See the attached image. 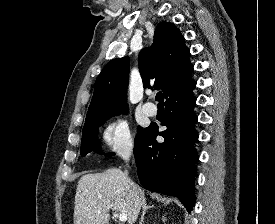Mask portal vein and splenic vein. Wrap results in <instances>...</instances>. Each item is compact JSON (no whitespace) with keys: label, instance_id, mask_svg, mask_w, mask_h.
Here are the masks:
<instances>
[{"label":"portal vein and splenic vein","instance_id":"obj_1","mask_svg":"<svg viewBox=\"0 0 275 224\" xmlns=\"http://www.w3.org/2000/svg\"><path fill=\"white\" fill-rule=\"evenodd\" d=\"M115 216L118 217L119 221L126 222L127 221V215L123 213L115 212Z\"/></svg>","mask_w":275,"mask_h":224}]
</instances>
